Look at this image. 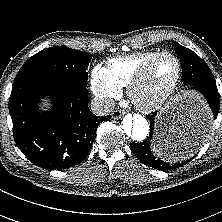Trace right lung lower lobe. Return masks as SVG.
<instances>
[{
	"label": "right lung lower lobe",
	"instance_id": "98d812e1",
	"mask_svg": "<svg viewBox=\"0 0 222 222\" xmlns=\"http://www.w3.org/2000/svg\"><path fill=\"white\" fill-rule=\"evenodd\" d=\"M44 96L53 99L47 113L36 107ZM88 103L85 87L46 75L16 77L9 99L16 145L45 169L62 170L80 163L91 150L98 125L111 118L96 116Z\"/></svg>",
	"mask_w": 222,
	"mask_h": 222
}]
</instances>
